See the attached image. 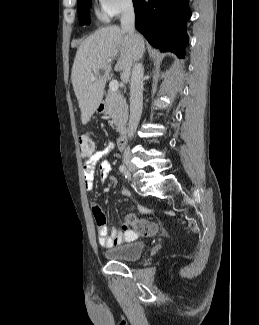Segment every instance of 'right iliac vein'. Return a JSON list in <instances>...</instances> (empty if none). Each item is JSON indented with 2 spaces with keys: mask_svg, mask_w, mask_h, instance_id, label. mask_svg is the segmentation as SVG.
<instances>
[{
  "mask_svg": "<svg viewBox=\"0 0 259 325\" xmlns=\"http://www.w3.org/2000/svg\"><path fill=\"white\" fill-rule=\"evenodd\" d=\"M124 162L130 171H132V172L138 171V167L136 166V164L134 163V161L130 155L127 154L124 156Z\"/></svg>",
  "mask_w": 259,
  "mask_h": 325,
  "instance_id": "63e3f726",
  "label": "right iliac vein"
}]
</instances>
